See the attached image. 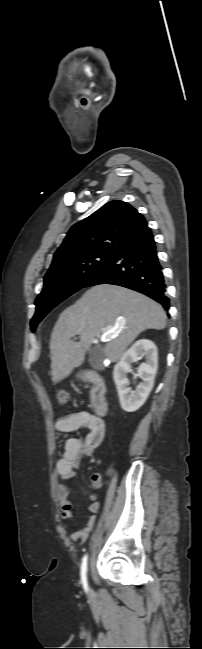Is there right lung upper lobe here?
I'll return each instance as SVG.
<instances>
[{
	"instance_id": "obj_1",
	"label": "right lung upper lobe",
	"mask_w": 202,
	"mask_h": 649,
	"mask_svg": "<svg viewBox=\"0 0 202 649\" xmlns=\"http://www.w3.org/2000/svg\"><path fill=\"white\" fill-rule=\"evenodd\" d=\"M149 230L145 218L134 207L120 200L111 201L72 226L55 252L49 270L58 263L85 252L116 253L125 244Z\"/></svg>"
}]
</instances>
